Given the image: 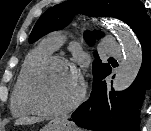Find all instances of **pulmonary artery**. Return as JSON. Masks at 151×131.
Returning <instances> with one entry per match:
<instances>
[{
  "label": "pulmonary artery",
  "mask_w": 151,
  "mask_h": 131,
  "mask_svg": "<svg viewBox=\"0 0 151 131\" xmlns=\"http://www.w3.org/2000/svg\"><path fill=\"white\" fill-rule=\"evenodd\" d=\"M64 36L60 32H53L47 37L48 44L55 50L64 42ZM104 49L110 54H119L120 48L113 38L106 37L102 40Z\"/></svg>",
  "instance_id": "obj_1"
}]
</instances>
